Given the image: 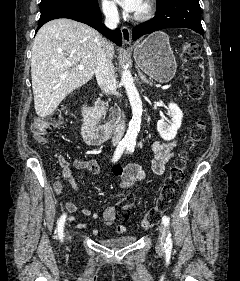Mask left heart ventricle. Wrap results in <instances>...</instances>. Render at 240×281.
I'll return each instance as SVG.
<instances>
[{"label":"left heart ventricle","mask_w":240,"mask_h":281,"mask_svg":"<svg viewBox=\"0 0 240 281\" xmlns=\"http://www.w3.org/2000/svg\"><path fill=\"white\" fill-rule=\"evenodd\" d=\"M143 9H144V4H143V6H142V8L140 9V11H139V12H141Z\"/></svg>","instance_id":"left-heart-ventricle-1"}]
</instances>
